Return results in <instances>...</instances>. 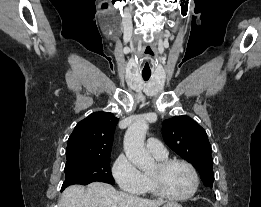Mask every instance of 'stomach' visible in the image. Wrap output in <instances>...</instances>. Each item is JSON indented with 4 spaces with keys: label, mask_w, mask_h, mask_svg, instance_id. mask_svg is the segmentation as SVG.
<instances>
[{
    "label": "stomach",
    "mask_w": 261,
    "mask_h": 207,
    "mask_svg": "<svg viewBox=\"0 0 261 207\" xmlns=\"http://www.w3.org/2000/svg\"><path fill=\"white\" fill-rule=\"evenodd\" d=\"M162 207H182V205L177 202H166Z\"/></svg>",
    "instance_id": "0dacf381"
}]
</instances>
